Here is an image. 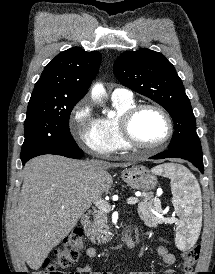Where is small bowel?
I'll use <instances>...</instances> for the list:
<instances>
[{
	"mask_svg": "<svg viewBox=\"0 0 215 274\" xmlns=\"http://www.w3.org/2000/svg\"><path fill=\"white\" fill-rule=\"evenodd\" d=\"M157 254L161 257L163 263L167 267H172L175 264L176 258L175 256L168 252L164 246H158L156 249ZM86 255L90 260H94L97 256V251L93 247H88L86 250ZM174 271L172 269L166 270L165 274H173ZM73 274H112L110 272H92L91 264H86L84 266H77L75 272ZM130 274H154L153 272L148 271H136L131 272Z\"/></svg>",
	"mask_w": 215,
	"mask_h": 274,
	"instance_id": "c3829d8e",
	"label": "small bowel"
}]
</instances>
